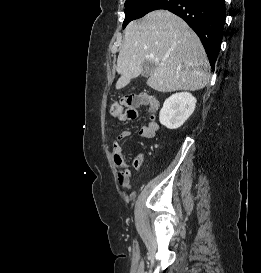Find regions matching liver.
Wrapping results in <instances>:
<instances>
[{
    "instance_id": "6515ba94",
    "label": "liver",
    "mask_w": 261,
    "mask_h": 273,
    "mask_svg": "<svg viewBox=\"0 0 261 273\" xmlns=\"http://www.w3.org/2000/svg\"><path fill=\"white\" fill-rule=\"evenodd\" d=\"M124 34L117 59V90L142 73L144 62L155 65L147 85L158 92L197 91L208 84L209 62L204 47L180 17L155 10L130 22Z\"/></svg>"
}]
</instances>
